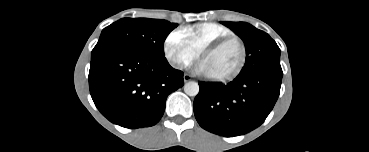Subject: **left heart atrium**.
I'll return each mask as SVG.
<instances>
[{
	"instance_id": "left-heart-atrium-1",
	"label": "left heart atrium",
	"mask_w": 369,
	"mask_h": 152,
	"mask_svg": "<svg viewBox=\"0 0 369 152\" xmlns=\"http://www.w3.org/2000/svg\"><path fill=\"white\" fill-rule=\"evenodd\" d=\"M195 71L199 74L207 75L205 65L202 62L196 65Z\"/></svg>"
}]
</instances>
